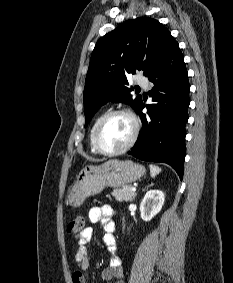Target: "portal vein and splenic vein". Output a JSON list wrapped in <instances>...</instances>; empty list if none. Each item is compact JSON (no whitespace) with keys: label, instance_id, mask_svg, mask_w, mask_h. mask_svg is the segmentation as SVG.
I'll return each instance as SVG.
<instances>
[{"label":"portal vein and splenic vein","instance_id":"18ae733b","mask_svg":"<svg viewBox=\"0 0 233 283\" xmlns=\"http://www.w3.org/2000/svg\"><path fill=\"white\" fill-rule=\"evenodd\" d=\"M131 191H132V192H135V191H136V188H135V187H132V188H131Z\"/></svg>","mask_w":233,"mask_h":283}]
</instances>
